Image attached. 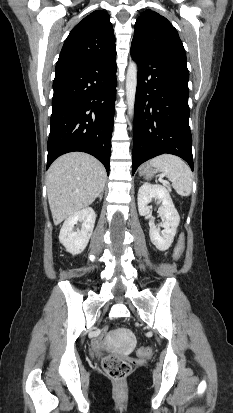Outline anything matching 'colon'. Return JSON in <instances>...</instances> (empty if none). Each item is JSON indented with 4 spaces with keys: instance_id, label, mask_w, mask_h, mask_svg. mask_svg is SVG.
<instances>
[{
    "instance_id": "obj_1",
    "label": "colon",
    "mask_w": 233,
    "mask_h": 413,
    "mask_svg": "<svg viewBox=\"0 0 233 413\" xmlns=\"http://www.w3.org/2000/svg\"><path fill=\"white\" fill-rule=\"evenodd\" d=\"M184 247L183 237L180 238L174 253L173 258L176 260L180 257ZM138 354L142 357H146L151 354V349L148 347H142L138 350ZM102 367L106 374L114 380H123L131 371V365L127 361L114 356H107L102 362Z\"/></svg>"
}]
</instances>
